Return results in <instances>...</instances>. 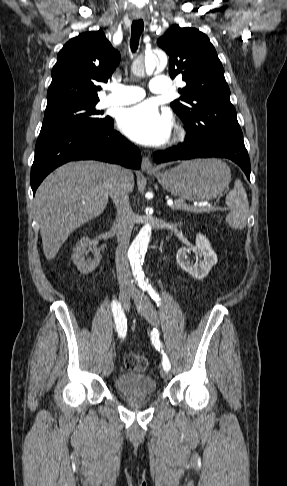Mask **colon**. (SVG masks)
I'll return each instance as SVG.
<instances>
[{
  "instance_id": "colon-1",
  "label": "colon",
  "mask_w": 287,
  "mask_h": 486,
  "mask_svg": "<svg viewBox=\"0 0 287 486\" xmlns=\"http://www.w3.org/2000/svg\"><path fill=\"white\" fill-rule=\"evenodd\" d=\"M148 364V359L140 354H129L125 357V366L132 371H144Z\"/></svg>"
}]
</instances>
